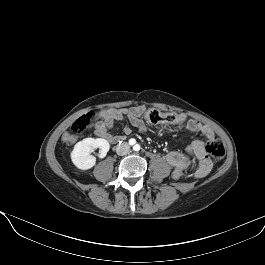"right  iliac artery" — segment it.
Segmentation results:
<instances>
[{
    "label": "right iliac artery",
    "instance_id": "1",
    "mask_svg": "<svg viewBox=\"0 0 265 265\" xmlns=\"http://www.w3.org/2000/svg\"><path fill=\"white\" fill-rule=\"evenodd\" d=\"M131 143L134 144L135 143V140H131Z\"/></svg>",
    "mask_w": 265,
    "mask_h": 265
}]
</instances>
